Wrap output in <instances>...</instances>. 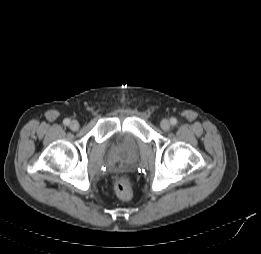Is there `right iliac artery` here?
<instances>
[{
    "instance_id": "1",
    "label": "right iliac artery",
    "mask_w": 261,
    "mask_h": 254,
    "mask_svg": "<svg viewBox=\"0 0 261 254\" xmlns=\"http://www.w3.org/2000/svg\"><path fill=\"white\" fill-rule=\"evenodd\" d=\"M63 123H64V125H69L70 124V120L66 118V119H64Z\"/></svg>"
}]
</instances>
